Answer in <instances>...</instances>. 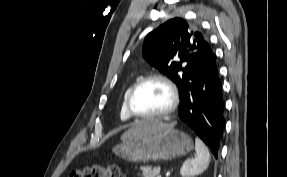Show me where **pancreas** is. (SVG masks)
<instances>
[{"mask_svg": "<svg viewBox=\"0 0 287 177\" xmlns=\"http://www.w3.org/2000/svg\"><path fill=\"white\" fill-rule=\"evenodd\" d=\"M141 176L142 177H158V174L160 172V167H149V166H144L141 167Z\"/></svg>", "mask_w": 287, "mask_h": 177, "instance_id": "obj_1", "label": "pancreas"}]
</instances>
